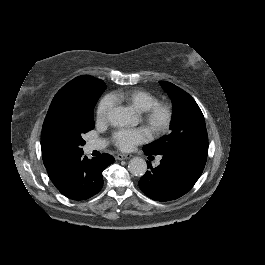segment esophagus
I'll list each match as a JSON object with an SVG mask.
<instances>
[{"instance_id":"esophagus-1","label":"esophagus","mask_w":265,"mask_h":265,"mask_svg":"<svg viewBox=\"0 0 265 265\" xmlns=\"http://www.w3.org/2000/svg\"><path fill=\"white\" fill-rule=\"evenodd\" d=\"M131 157H132V155H130V154H118L115 156V159L125 160V159L131 158Z\"/></svg>"}]
</instances>
